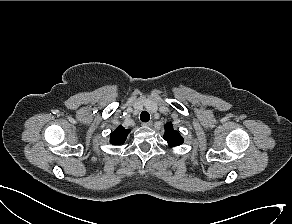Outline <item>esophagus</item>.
I'll return each instance as SVG.
<instances>
[{
    "label": "esophagus",
    "instance_id": "34e87169",
    "mask_svg": "<svg viewBox=\"0 0 292 224\" xmlns=\"http://www.w3.org/2000/svg\"><path fill=\"white\" fill-rule=\"evenodd\" d=\"M152 125H153L152 121H149V122L142 124V126H144V127H151Z\"/></svg>",
    "mask_w": 292,
    "mask_h": 224
}]
</instances>
